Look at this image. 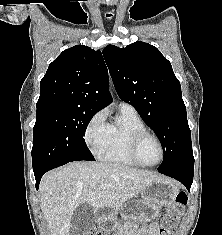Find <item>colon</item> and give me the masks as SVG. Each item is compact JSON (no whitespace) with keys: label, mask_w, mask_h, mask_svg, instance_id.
Returning <instances> with one entry per match:
<instances>
[{"label":"colon","mask_w":222,"mask_h":235,"mask_svg":"<svg viewBox=\"0 0 222 235\" xmlns=\"http://www.w3.org/2000/svg\"><path fill=\"white\" fill-rule=\"evenodd\" d=\"M187 194L183 191L176 195L175 201L169 206L164 215L158 235H172L173 228L184 214L185 205L187 204ZM87 235H103L97 231H91Z\"/></svg>","instance_id":"5ec220e1"}]
</instances>
